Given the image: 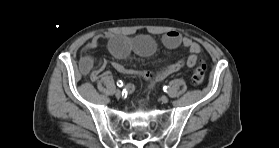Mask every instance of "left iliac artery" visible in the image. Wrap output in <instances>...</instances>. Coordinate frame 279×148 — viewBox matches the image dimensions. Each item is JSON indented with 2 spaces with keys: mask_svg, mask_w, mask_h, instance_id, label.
Returning a JSON list of instances; mask_svg holds the SVG:
<instances>
[{
  "mask_svg": "<svg viewBox=\"0 0 279 148\" xmlns=\"http://www.w3.org/2000/svg\"><path fill=\"white\" fill-rule=\"evenodd\" d=\"M163 91H164V92H168V86H164V87H163Z\"/></svg>",
  "mask_w": 279,
  "mask_h": 148,
  "instance_id": "1",
  "label": "left iliac artery"
}]
</instances>
